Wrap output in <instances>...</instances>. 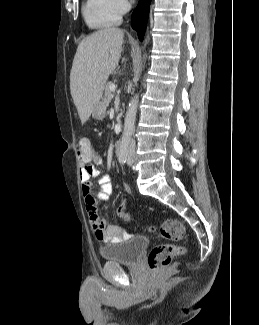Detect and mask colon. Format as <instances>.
<instances>
[{"mask_svg":"<svg viewBox=\"0 0 259 325\" xmlns=\"http://www.w3.org/2000/svg\"><path fill=\"white\" fill-rule=\"evenodd\" d=\"M94 154V148L87 138H82L78 142L77 156L80 161H88ZM117 214L128 219L126 205L121 202L117 208ZM156 230L167 240L173 242L182 241L185 237V227L183 223L177 219H167L163 221ZM185 248L177 244H160L154 246L148 255V265L151 270L157 271L170 264L174 257L180 256L184 253Z\"/></svg>","mask_w":259,"mask_h":325,"instance_id":"obj_1","label":"colon"}]
</instances>
